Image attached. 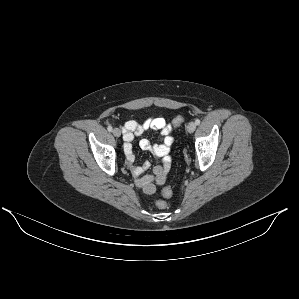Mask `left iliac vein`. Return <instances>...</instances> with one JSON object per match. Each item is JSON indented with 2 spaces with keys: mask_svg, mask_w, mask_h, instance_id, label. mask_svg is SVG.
<instances>
[{
  "mask_svg": "<svg viewBox=\"0 0 299 299\" xmlns=\"http://www.w3.org/2000/svg\"><path fill=\"white\" fill-rule=\"evenodd\" d=\"M196 129V124L194 122H190L188 125H187V131L189 133H193Z\"/></svg>",
  "mask_w": 299,
  "mask_h": 299,
  "instance_id": "4c4485c4",
  "label": "left iliac vein"
}]
</instances>
